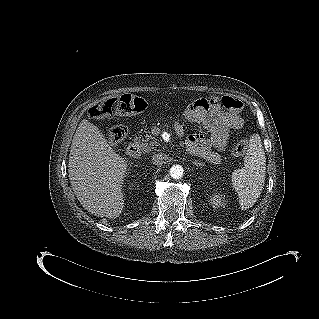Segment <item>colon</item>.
<instances>
[{"label": "colon", "mask_w": 319, "mask_h": 319, "mask_svg": "<svg viewBox=\"0 0 319 319\" xmlns=\"http://www.w3.org/2000/svg\"><path fill=\"white\" fill-rule=\"evenodd\" d=\"M210 105L220 104L226 109L239 111L243 108L241 100L223 96L221 98L212 96L208 99ZM146 108V102L144 99L131 95L123 94L118 97L109 98L101 103L91 106L88 110L90 118L95 120H103L107 118L119 117L123 115L142 112ZM127 127L124 125L113 126L108 133V141L111 145H116L122 141L127 135ZM248 147L247 140H241L232 149L233 156H242L245 154Z\"/></svg>", "instance_id": "5ec220e1"}]
</instances>
